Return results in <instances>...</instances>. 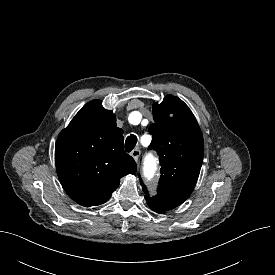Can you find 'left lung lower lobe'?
<instances>
[{
    "instance_id": "obj_1",
    "label": "left lung lower lobe",
    "mask_w": 275,
    "mask_h": 275,
    "mask_svg": "<svg viewBox=\"0 0 275 275\" xmlns=\"http://www.w3.org/2000/svg\"><path fill=\"white\" fill-rule=\"evenodd\" d=\"M145 199L149 207L158 213H163L165 211L171 210L185 201L182 199H166L149 196H145Z\"/></svg>"
}]
</instances>
